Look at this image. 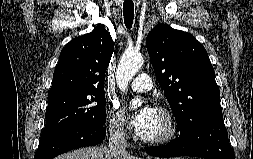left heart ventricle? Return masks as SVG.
I'll use <instances>...</instances> for the list:
<instances>
[{"label": "left heart ventricle", "instance_id": "obj_1", "mask_svg": "<svg viewBox=\"0 0 253 159\" xmlns=\"http://www.w3.org/2000/svg\"><path fill=\"white\" fill-rule=\"evenodd\" d=\"M166 129V124L163 116L155 110L154 115L148 124L147 128L141 133L147 137H156L161 135Z\"/></svg>", "mask_w": 253, "mask_h": 159}]
</instances>
